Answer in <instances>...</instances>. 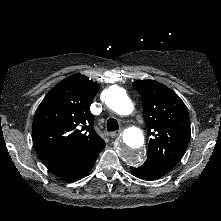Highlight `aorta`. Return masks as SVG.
<instances>
[{
  "instance_id": "aorta-1",
  "label": "aorta",
  "mask_w": 221,
  "mask_h": 221,
  "mask_svg": "<svg viewBox=\"0 0 221 221\" xmlns=\"http://www.w3.org/2000/svg\"><path fill=\"white\" fill-rule=\"evenodd\" d=\"M106 104L119 115H129L134 106L124 90L119 87H111L107 92ZM144 135L137 127L125 129L118 146V156L131 166H138L143 161Z\"/></svg>"
}]
</instances>
